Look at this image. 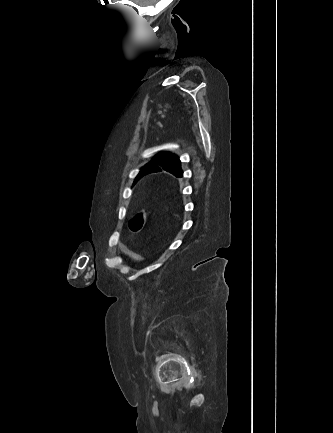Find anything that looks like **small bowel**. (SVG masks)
<instances>
[{"label":"small bowel","instance_id":"c3829d8e","mask_svg":"<svg viewBox=\"0 0 333 433\" xmlns=\"http://www.w3.org/2000/svg\"><path fill=\"white\" fill-rule=\"evenodd\" d=\"M132 257L134 259H136V260H141L142 259V257L140 255H138V254H133Z\"/></svg>","mask_w":333,"mask_h":433}]
</instances>
